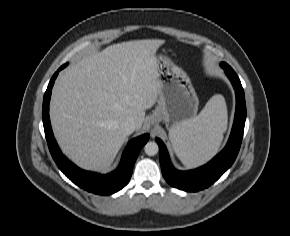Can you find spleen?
<instances>
[{
	"instance_id": "obj_1",
	"label": "spleen",
	"mask_w": 290,
	"mask_h": 236,
	"mask_svg": "<svg viewBox=\"0 0 290 236\" xmlns=\"http://www.w3.org/2000/svg\"><path fill=\"white\" fill-rule=\"evenodd\" d=\"M226 128V103L224 97L217 94L196 117L169 131V138L181 162L186 167H195L217 153Z\"/></svg>"
}]
</instances>
